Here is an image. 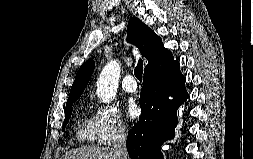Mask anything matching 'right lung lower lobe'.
Returning <instances> with one entry per match:
<instances>
[{"instance_id": "98d812e1", "label": "right lung lower lobe", "mask_w": 253, "mask_h": 159, "mask_svg": "<svg viewBox=\"0 0 253 159\" xmlns=\"http://www.w3.org/2000/svg\"><path fill=\"white\" fill-rule=\"evenodd\" d=\"M188 97L179 63L164 72L144 74L139 99L141 117L126 142L131 159H163L160 147L173 137L177 109Z\"/></svg>"}]
</instances>
